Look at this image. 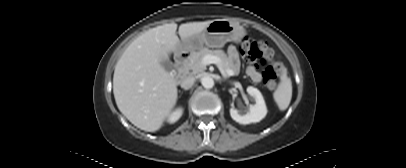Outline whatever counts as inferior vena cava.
I'll use <instances>...</instances> for the list:
<instances>
[{
    "mask_svg": "<svg viewBox=\"0 0 406 168\" xmlns=\"http://www.w3.org/2000/svg\"><path fill=\"white\" fill-rule=\"evenodd\" d=\"M195 82V78L193 76H186L182 79L180 85L183 89L188 90L190 89Z\"/></svg>",
    "mask_w": 406,
    "mask_h": 168,
    "instance_id": "inferior-vena-cava-1",
    "label": "inferior vena cava"
}]
</instances>
